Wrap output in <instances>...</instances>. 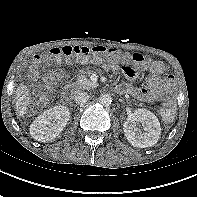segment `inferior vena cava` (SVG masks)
<instances>
[{"label":"inferior vena cava","mask_w":197,"mask_h":197,"mask_svg":"<svg viewBox=\"0 0 197 197\" xmlns=\"http://www.w3.org/2000/svg\"><path fill=\"white\" fill-rule=\"evenodd\" d=\"M74 100L78 105H82L89 100V95L87 92L78 91L75 93Z\"/></svg>","instance_id":"602c4592"}]
</instances>
